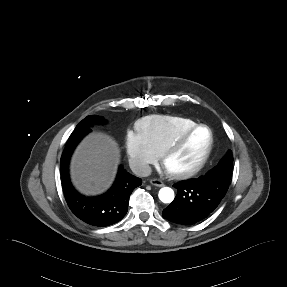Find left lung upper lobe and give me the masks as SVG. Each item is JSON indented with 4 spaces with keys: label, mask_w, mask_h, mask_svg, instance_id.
Wrapping results in <instances>:
<instances>
[{
    "label": "left lung upper lobe",
    "mask_w": 287,
    "mask_h": 287,
    "mask_svg": "<svg viewBox=\"0 0 287 287\" xmlns=\"http://www.w3.org/2000/svg\"><path fill=\"white\" fill-rule=\"evenodd\" d=\"M232 165H233V155H232L231 150H229L226 156H224V158L214 168L217 170H224V173L227 175V177L230 180L231 172H232Z\"/></svg>",
    "instance_id": "obj_1"
}]
</instances>
